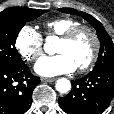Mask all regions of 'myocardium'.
Instances as JSON below:
<instances>
[{
	"mask_svg": "<svg viewBox=\"0 0 114 114\" xmlns=\"http://www.w3.org/2000/svg\"><path fill=\"white\" fill-rule=\"evenodd\" d=\"M83 32L88 33L91 36V38L93 40V50H92V53H91L89 59L85 63H83L77 67L78 70L81 72H85V71L89 70L90 68H92L99 57V53H100V49H101V41H100V38H99L97 32L90 26L79 24V25L69 29L68 31H66L60 37V40H63L66 42H71L79 34H81Z\"/></svg>",
	"mask_w": 114,
	"mask_h": 114,
	"instance_id": "1",
	"label": "myocardium"
}]
</instances>
